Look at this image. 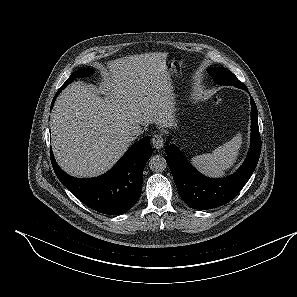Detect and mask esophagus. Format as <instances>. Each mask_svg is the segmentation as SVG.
<instances>
[{"label":"esophagus","mask_w":297,"mask_h":297,"mask_svg":"<svg viewBox=\"0 0 297 297\" xmlns=\"http://www.w3.org/2000/svg\"><path fill=\"white\" fill-rule=\"evenodd\" d=\"M152 145L154 146V148L156 149H161L164 146V139L163 136L161 134H155L152 138Z\"/></svg>","instance_id":"1"}]
</instances>
